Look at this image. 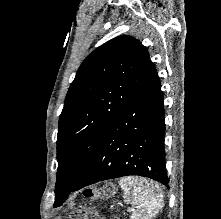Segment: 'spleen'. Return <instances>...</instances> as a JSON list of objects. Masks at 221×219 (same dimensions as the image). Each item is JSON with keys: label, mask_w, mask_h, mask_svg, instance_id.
I'll list each match as a JSON object with an SVG mask.
<instances>
[{"label": "spleen", "mask_w": 221, "mask_h": 219, "mask_svg": "<svg viewBox=\"0 0 221 219\" xmlns=\"http://www.w3.org/2000/svg\"><path fill=\"white\" fill-rule=\"evenodd\" d=\"M119 185L124 191V201L132 204L136 210L131 219H152L163 207L161 188L153 181L143 178H121Z\"/></svg>", "instance_id": "obj_1"}]
</instances>
